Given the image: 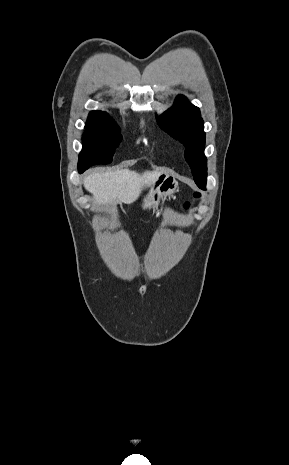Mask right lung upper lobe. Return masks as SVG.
Wrapping results in <instances>:
<instances>
[{
    "label": "right lung upper lobe",
    "mask_w": 289,
    "mask_h": 465,
    "mask_svg": "<svg viewBox=\"0 0 289 465\" xmlns=\"http://www.w3.org/2000/svg\"><path fill=\"white\" fill-rule=\"evenodd\" d=\"M113 122V119L105 112L92 111L89 113L86 127H107Z\"/></svg>",
    "instance_id": "right-lung-upper-lobe-1"
}]
</instances>
